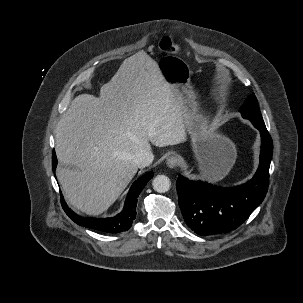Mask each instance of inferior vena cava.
Segmentation results:
<instances>
[{"instance_id":"1","label":"inferior vena cava","mask_w":303,"mask_h":303,"mask_svg":"<svg viewBox=\"0 0 303 303\" xmlns=\"http://www.w3.org/2000/svg\"><path fill=\"white\" fill-rule=\"evenodd\" d=\"M154 159V155L151 151L140 150L133 156V162L138 168H144L149 166Z\"/></svg>"}]
</instances>
